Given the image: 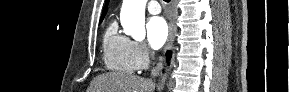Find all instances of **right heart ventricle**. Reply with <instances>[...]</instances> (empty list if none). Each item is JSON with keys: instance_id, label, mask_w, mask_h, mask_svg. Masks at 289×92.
Returning <instances> with one entry per match:
<instances>
[{"instance_id": "1", "label": "right heart ventricle", "mask_w": 289, "mask_h": 92, "mask_svg": "<svg viewBox=\"0 0 289 92\" xmlns=\"http://www.w3.org/2000/svg\"><path fill=\"white\" fill-rule=\"evenodd\" d=\"M131 42L118 31L115 21L109 23L103 35V59L108 69L121 73L136 70L131 57Z\"/></svg>"}]
</instances>
